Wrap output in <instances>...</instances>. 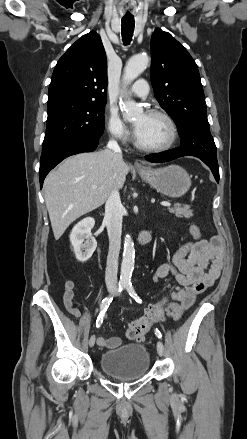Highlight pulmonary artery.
<instances>
[{
    "mask_svg": "<svg viewBox=\"0 0 247 439\" xmlns=\"http://www.w3.org/2000/svg\"><path fill=\"white\" fill-rule=\"evenodd\" d=\"M130 92L134 96L144 98L148 95L149 92L148 83L143 79L138 80L132 85Z\"/></svg>",
    "mask_w": 247,
    "mask_h": 439,
    "instance_id": "1",
    "label": "pulmonary artery"
}]
</instances>
